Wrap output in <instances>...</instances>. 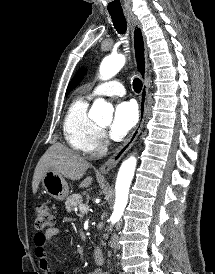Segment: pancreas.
I'll list each match as a JSON object with an SVG mask.
<instances>
[{"label":"pancreas","mask_w":215,"mask_h":274,"mask_svg":"<svg viewBox=\"0 0 215 274\" xmlns=\"http://www.w3.org/2000/svg\"><path fill=\"white\" fill-rule=\"evenodd\" d=\"M83 204L82 197L79 194L69 196L65 202L67 212H71L79 208Z\"/></svg>","instance_id":"obj_1"}]
</instances>
